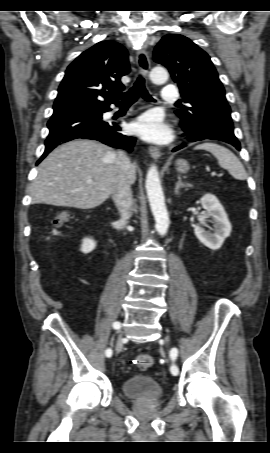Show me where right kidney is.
<instances>
[{
	"instance_id": "right-kidney-1",
	"label": "right kidney",
	"mask_w": 270,
	"mask_h": 453,
	"mask_svg": "<svg viewBox=\"0 0 270 453\" xmlns=\"http://www.w3.org/2000/svg\"><path fill=\"white\" fill-rule=\"evenodd\" d=\"M96 247V242L92 238H85L83 239L82 245H81V252L84 254L90 253L93 251Z\"/></svg>"
}]
</instances>
